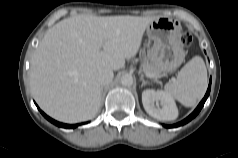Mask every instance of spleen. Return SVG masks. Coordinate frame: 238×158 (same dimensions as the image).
<instances>
[{"label":"spleen","instance_id":"3e777b00","mask_svg":"<svg viewBox=\"0 0 238 158\" xmlns=\"http://www.w3.org/2000/svg\"><path fill=\"white\" fill-rule=\"evenodd\" d=\"M207 88V69L200 56L192 58L173 79L165 85V92L186 107L201 100Z\"/></svg>","mask_w":238,"mask_h":158}]
</instances>
